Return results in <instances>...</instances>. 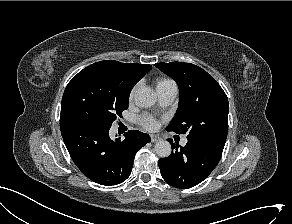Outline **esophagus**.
Here are the masks:
<instances>
[{"mask_svg":"<svg viewBox=\"0 0 292 224\" xmlns=\"http://www.w3.org/2000/svg\"><path fill=\"white\" fill-rule=\"evenodd\" d=\"M150 137H151L152 142H157V141L161 140V137L156 135V134H151Z\"/></svg>","mask_w":292,"mask_h":224,"instance_id":"obj_1","label":"esophagus"}]
</instances>
